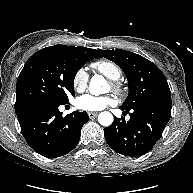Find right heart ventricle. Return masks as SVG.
Masks as SVG:
<instances>
[{
	"mask_svg": "<svg viewBox=\"0 0 193 193\" xmlns=\"http://www.w3.org/2000/svg\"><path fill=\"white\" fill-rule=\"evenodd\" d=\"M92 68L110 80H118L122 75V69L111 60H99L92 63Z\"/></svg>",
	"mask_w": 193,
	"mask_h": 193,
	"instance_id": "1",
	"label": "right heart ventricle"
}]
</instances>
